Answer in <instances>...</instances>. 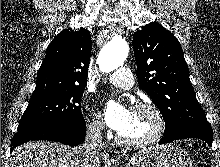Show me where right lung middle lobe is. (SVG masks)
I'll return each mask as SVG.
<instances>
[{
  "label": "right lung middle lobe",
  "instance_id": "obj_1",
  "mask_svg": "<svg viewBox=\"0 0 220 167\" xmlns=\"http://www.w3.org/2000/svg\"><path fill=\"white\" fill-rule=\"evenodd\" d=\"M85 86L69 87L58 92L31 98L21 117L18 131L45 126H75L84 121L80 100Z\"/></svg>",
  "mask_w": 220,
  "mask_h": 167
}]
</instances>
